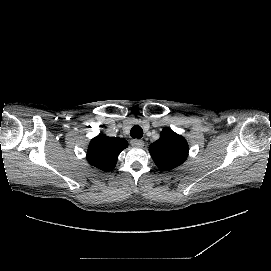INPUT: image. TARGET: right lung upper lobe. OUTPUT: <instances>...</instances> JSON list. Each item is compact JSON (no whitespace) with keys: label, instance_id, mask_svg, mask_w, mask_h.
Returning a JSON list of instances; mask_svg holds the SVG:
<instances>
[{"label":"right lung upper lobe","instance_id":"cb5924a9","mask_svg":"<svg viewBox=\"0 0 271 271\" xmlns=\"http://www.w3.org/2000/svg\"><path fill=\"white\" fill-rule=\"evenodd\" d=\"M127 146L128 143L123 138L101 134L91 140L87 151V160L98 169L110 171L115 167L120 152Z\"/></svg>","mask_w":271,"mask_h":271}]
</instances>
